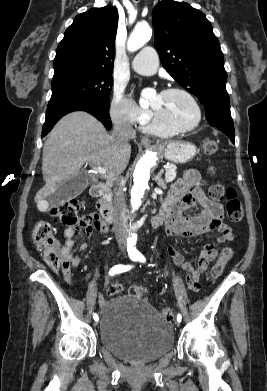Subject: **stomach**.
I'll list each match as a JSON object with an SVG mask.
<instances>
[{
    "instance_id": "1",
    "label": "stomach",
    "mask_w": 267,
    "mask_h": 391,
    "mask_svg": "<svg viewBox=\"0 0 267 391\" xmlns=\"http://www.w3.org/2000/svg\"><path fill=\"white\" fill-rule=\"evenodd\" d=\"M163 151L165 158L176 164H185L191 161L197 154L196 146L186 141L169 143Z\"/></svg>"
}]
</instances>
